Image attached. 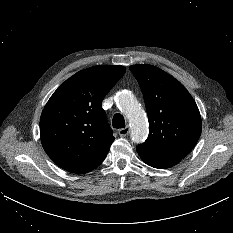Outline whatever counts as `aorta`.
I'll use <instances>...</instances> for the list:
<instances>
[{"mask_svg":"<svg viewBox=\"0 0 233 233\" xmlns=\"http://www.w3.org/2000/svg\"><path fill=\"white\" fill-rule=\"evenodd\" d=\"M117 102L129 121L132 141L135 143L144 142L149 132L148 123L135 96L131 92L123 91L118 95Z\"/></svg>","mask_w":233,"mask_h":233,"instance_id":"obj_1","label":"aorta"}]
</instances>
